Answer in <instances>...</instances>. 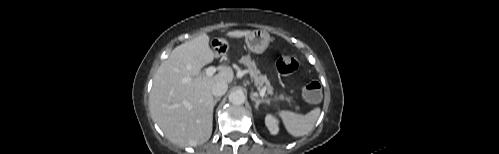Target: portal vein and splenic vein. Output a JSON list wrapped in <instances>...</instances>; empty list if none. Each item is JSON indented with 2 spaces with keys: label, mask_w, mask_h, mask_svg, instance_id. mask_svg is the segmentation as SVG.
I'll return each mask as SVG.
<instances>
[{
  "label": "portal vein and splenic vein",
  "mask_w": 499,
  "mask_h": 154,
  "mask_svg": "<svg viewBox=\"0 0 499 154\" xmlns=\"http://www.w3.org/2000/svg\"><path fill=\"white\" fill-rule=\"evenodd\" d=\"M216 71H217V68L211 66V67L206 68L205 74L207 77H212ZM259 95L261 97H263L265 95V90L264 89L261 90Z\"/></svg>",
  "instance_id": "portal-vein-and-splenic-vein-1"
}]
</instances>
